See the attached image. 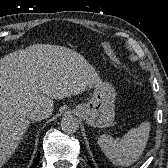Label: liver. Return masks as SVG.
Here are the masks:
<instances>
[{"mask_svg": "<svg viewBox=\"0 0 168 168\" xmlns=\"http://www.w3.org/2000/svg\"><path fill=\"white\" fill-rule=\"evenodd\" d=\"M101 79L86 59L69 48L36 44L0 59V166L18 148L30 110L50 115L53 99L78 95Z\"/></svg>", "mask_w": 168, "mask_h": 168, "instance_id": "liver-1", "label": "liver"}]
</instances>
